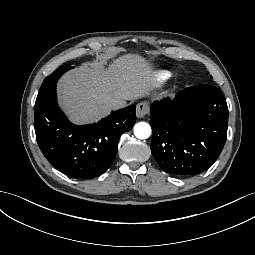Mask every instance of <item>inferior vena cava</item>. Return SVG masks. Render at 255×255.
<instances>
[{
    "label": "inferior vena cava",
    "mask_w": 255,
    "mask_h": 255,
    "mask_svg": "<svg viewBox=\"0 0 255 255\" xmlns=\"http://www.w3.org/2000/svg\"><path fill=\"white\" fill-rule=\"evenodd\" d=\"M126 106V102L122 100H112L110 107L113 110H117Z\"/></svg>",
    "instance_id": "602c4592"
}]
</instances>
